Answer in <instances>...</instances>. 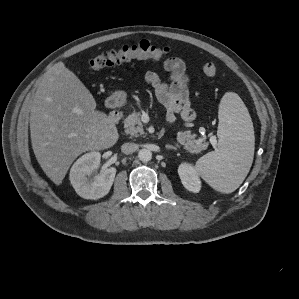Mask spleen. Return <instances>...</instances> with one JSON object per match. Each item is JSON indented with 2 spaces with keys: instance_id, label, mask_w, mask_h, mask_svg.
I'll use <instances>...</instances> for the list:
<instances>
[{
  "instance_id": "spleen-1",
  "label": "spleen",
  "mask_w": 299,
  "mask_h": 299,
  "mask_svg": "<svg viewBox=\"0 0 299 299\" xmlns=\"http://www.w3.org/2000/svg\"><path fill=\"white\" fill-rule=\"evenodd\" d=\"M218 147L196 162L199 175L216 191L234 192L246 178L254 156V129L240 97L226 93L219 105Z\"/></svg>"
}]
</instances>
